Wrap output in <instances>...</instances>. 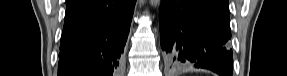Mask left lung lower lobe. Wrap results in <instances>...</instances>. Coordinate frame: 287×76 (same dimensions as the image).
<instances>
[{"mask_svg":"<svg viewBox=\"0 0 287 76\" xmlns=\"http://www.w3.org/2000/svg\"><path fill=\"white\" fill-rule=\"evenodd\" d=\"M160 38L170 63L232 76L228 11L209 0H161Z\"/></svg>","mask_w":287,"mask_h":76,"instance_id":"1","label":"left lung lower lobe"}]
</instances>
